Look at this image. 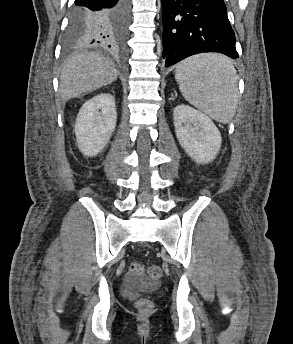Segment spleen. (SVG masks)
I'll return each instance as SVG.
<instances>
[{
  "label": "spleen",
  "mask_w": 293,
  "mask_h": 344,
  "mask_svg": "<svg viewBox=\"0 0 293 344\" xmlns=\"http://www.w3.org/2000/svg\"><path fill=\"white\" fill-rule=\"evenodd\" d=\"M175 79L190 104L221 123L233 118L238 100L237 73L227 57L213 53L189 57L178 65Z\"/></svg>",
  "instance_id": "spleen-1"
}]
</instances>
